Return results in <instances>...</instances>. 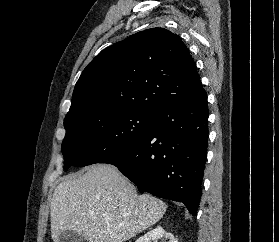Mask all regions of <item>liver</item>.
<instances>
[{
	"label": "liver",
	"mask_w": 279,
	"mask_h": 242,
	"mask_svg": "<svg viewBox=\"0 0 279 242\" xmlns=\"http://www.w3.org/2000/svg\"><path fill=\"white\" fill-rule=\"evenodd\" d=\"M166 204L136 187L117 168L93 165L70 174L54 190L50 205L51 237L72 231L89 242H123L161 219Z\"/></svg>",
	"instance_id": "1"
}]
</instances>
